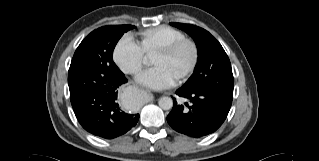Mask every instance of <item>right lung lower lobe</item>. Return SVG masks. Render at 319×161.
Wrapping results in <instances>:
<instances>
[{"mask_svg": "<svg viewBox=\"0 0 319 161\" xmlns=\"http://www.w3.org/2000/svg\"><path fill=\"white\" fill-rule=\"evenodd\" d=\"M127 82L122 73L110 84L97 86L71 101L75 116L81 126L96 136L113 139L134 127L139 114L124 112L118 104V87Z\"/></svg>", "mask_w": 319, "mask_h": 161, "instance_id": "right-lung-lower-lobe-1", "label": "right lung lower lobe"}]
</instances>
